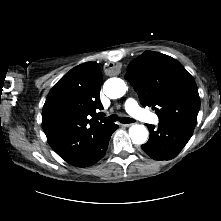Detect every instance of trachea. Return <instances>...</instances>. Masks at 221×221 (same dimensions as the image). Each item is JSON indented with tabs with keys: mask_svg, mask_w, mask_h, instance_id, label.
Returning <instances> with one entry per match:
<instances>
[{
	"mask_svg": "<svg viewBox=\"0 0 221 221\" xmlns=\"http://www.w3.org/2000/svg\"><path fill=\"white\" fill-rule=\"evenodd\" d=\"M104 120L110 121V122H115V121L119 120V122L124 123V124H129V123L135 122V120L132 119V118H126V117H125V118H119V117H118L117 115H115V114L110 115V116L104 118Z\"/></svg>",
	"mask_w": 221,
	"mask_h": 221,
	"instance_id": "trachea-1",
	"label": "trachea"
}]
</instances>
